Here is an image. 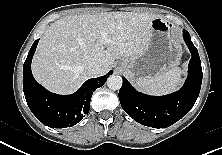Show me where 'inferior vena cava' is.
Masks as SVG:
<instances>
[{
    "label": "inferior vena cava",
    "mask_w": 222,
    "mask_h": 155,
    "mask_svg": "<svg viewBox=\"0 0 222 155\" xmlns=\"http://www.w3.org/2000/svg\"><path fill=\"white\" fill-rule=\"evenodd\" d=\"M85 71L90 77H94L100 75L101 68L98 63L93 62L88 64V66L85 68Z\"/></svg>",
    "instance_id": "inferior-vena-cava-1"
}]
</instances>
